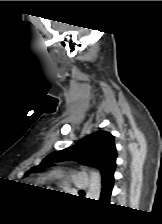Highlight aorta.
<instances>
[{
  "label": "aorta",
  "instance_id": "1",
  "mask_svg": "<svg viewBox=\"0 0 162 224\" xmlns=\"http://www.w3.org/2000/svg\"><path fill=\"white\" fill-rule=\"evenodd\" d=\"M101 188V175L98 171L92 170L90 172V183L86 194L87 198L98 200L100 198Z\"/></svg>",
  "mask_w": 162,
  "mask_h": 224
}]
</instances>
